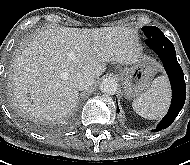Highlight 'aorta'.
<instances>
[{
  "label": "aorta",
  "mask_w": 190,
  "mask_h": 165,
  "mask_svg": "<svg viewBox=\"0 0 190 165\" xmlns=\"http://www.w3.org/2000/svg\"><path fill=\"white\" fill-rule=\"evenodd\" d=\"M117 88V81L113 78L104 79L100 85L101 92L108 95H114L117 91Z\"/></svg>",
  "instance_id": "762f6f07"
}]
</instances>
